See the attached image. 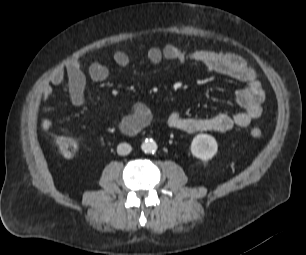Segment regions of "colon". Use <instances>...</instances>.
I'll return each mask as SVG.
<instances>
[{"instance_id": "5ec220e1", "label": "colon", "mask_w": 306, "mask_h": 255, "mask_svg": "<svg viewBox=\"0 0 306 255\" xmlns=\"http://www.w3.org/2000/svg\"><path fill=\"white\" fill-rule=\"evenodd\" d=\"M250 134L253 138H260L262 136V130L258 127L251 129ZM55 144L60 152V154L65 158H72L78 149L77 141L67 135H60L56 137Z\"/></svg>"}]
</instances>
